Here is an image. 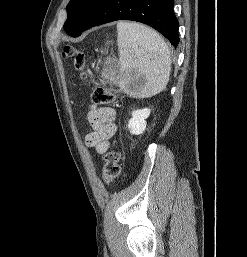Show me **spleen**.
Returning a JSON list of instances; mask_svg holds the SVG:
<instances>
[{"label":"spleen","instance_id":"obj_1","mask_svg":"<svg viewBox=\"0 0 247 257\" xmlns=\"http://www.w3.org/2000/svg\"><path fill=\"white\" fill-rule=\"evenodd\" d=\"M119 71L117 83L127 91L126 83L136 76L144 79L139 95L160 93L169 81L171 57L164 39L153 29L133 22L117 23Z\"/></svg>","mask_w":247,"mask_h":257}]
</instances>
